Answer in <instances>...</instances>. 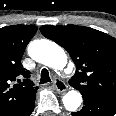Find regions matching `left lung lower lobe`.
Listing matches in <instances>:
<instances>
[{
    "instance_id": "obj_1",
    "label": "left lung lower lobe",
    "mask_w": 116,
    "mask_h": 116,
    "mask_svg": "<svg viewBox=\"0 0 116 116\" xmlns=\"http://www.w3.org/2000/svg\"><path fill=\"white\" fill-rule=\"evenodd\" d=\"M84 106L72 116H113L116 113V99L101 96H83Z\"/></svg>"
}]
</instances>
